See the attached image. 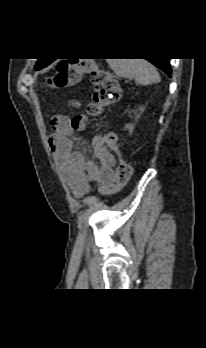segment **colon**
Listing matches in <instances>:
<instances>
[{
  "instance_id": "1",
  "label": "colon",
  "mask_w": 206,
  "mask_h": 348,
  "mask_svg": "<svg viewBox=\"0 0 206 348\" xmlns=\"http://www.w3.org/2000/svg\"><path fill=\"white\" fill-rule=\"evenodd\" d=\"M85 74L91 75L93 95L85 114H76L71 119L74 129H83L89 116L100 114L108 106L118 102L121 98V88L115 76L97 65L93 58H74L62 60L56 67V72L45 80V85L56 89H63L79 82ZM105 142L117 155L115 167V182L101 187L104 194H113L121 190L129 182L132 168L126 162L118 147V136L114 132L105 135Z\"/></svg>"
}]
</instances>
